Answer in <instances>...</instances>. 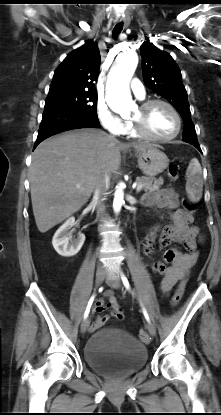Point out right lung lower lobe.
Wrapping results in <instances>:
<instances>
[{"mask_svg":"<svg viewBox=\"0 0 221 415\" xmlns=\"http://www.w3.org/2000/svg\"><path fill=\"white\" fill-rule=\"evenodd\" d=\"M99 126L100 123L98 118H94L81 112L61 109H44L34 149L46 138L60 132Z\"/></svg>","mask_w":221,"mask_h":415,"instance_id":"obj_1","label":"right lung lower lobe"}]
</instances>
